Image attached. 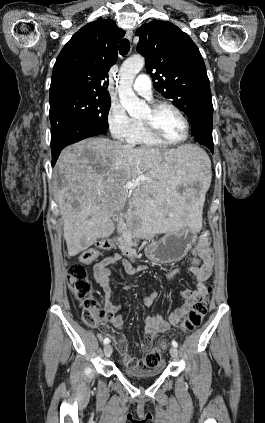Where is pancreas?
Here are the masks:
<instances>
[{
  "label": "pancreas",
  "instance_id": "1",
  "mask_svg": "<svg viewBox=\"0 0 265 423\" xmlns=\"http://www.w3.org/2000/svg\"><path fill=\"white\" fill-rule=\"evenodd\" d=\"M138 235H139V233H132V232L128 233V237L131 238V239L137 237Z\"/></svg>",
  "mask_w": 265,
  "mask_h": 423
}]
</instances>
